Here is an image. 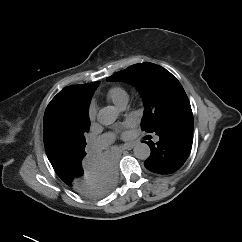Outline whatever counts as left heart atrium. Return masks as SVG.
I'll return each mask as SVG.
<instances>
[{
    "label": "left heart atrium",
    "mask_w": 242,
    "mask_h": 242,
    "mask_svg": "<svg viewBox=\"0 0 242 242\" xmlns=\"http://www.w3.org/2000/svg\"><path fill=\"white\" fill-rule=\"evenodd\" d=\"M123 134L126 135V132L124 131Z\"/></svg>",
    "instance_id": "39dd6f15"
}]
</instances>
